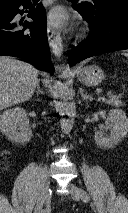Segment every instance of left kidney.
Masks as SVG:
<instances>
[{"instance_id": "5707ae66", "label": "left kidney", "mask_w": 128, "mask_h": 213, "mask_svg": "<svg viewBox=\"0 0 128 213\" xmlns=\"http://www.w3.org/2000/svg\"><path fill=\"white\" fill-rule=\"evenodd\" d=\"M104 130H109L110 134L105 135ZM104 130L95 133V142L104 149H112L127 135L128 118L126 113L119 109L110 110Z\"/></svg>"}]
</instances>
